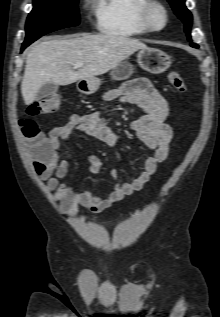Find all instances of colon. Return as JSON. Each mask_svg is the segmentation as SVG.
Returning <instances> with one entry per match:
<instances>
[{
	"label": "colon",
	"mask_w": 220,
	"mask_h": 317,
	"mask_svg": "<svg viewBox=\"0 0 220 317\" xmlns=\"http://www.w3.org/2000/svg\"><path fill=\"white\" fill-rule=\"evenodd\" d=\"M168 81L178 92H186L185 82L178 72L171 71L168 74ZM60 105L61 100L58 95L45 96L31 105L25 115L18 121L26 146L34 159V165L37 169H43L50 164L54 149L51 140L40 129L35 118L56 112Z\"/></svg>",
	"instance_id": "1"
}]
</instances>
